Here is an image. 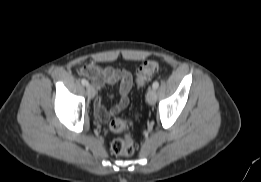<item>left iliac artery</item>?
Masks as SVG:
<instances>
[{
    "label": "left iliac artery",
    "instance_id": "44dca946",
    "mask_svg": "<svg viewBox=\"0 0 261 182\" xmlns=\"http://www.w3.org/2000/svg\"><path fill=\"white\" fill-rule=\"evenodd\" d=\"M152 87L153 89H157L159 87V82L158 81L153 82Z\"/></svg>",
    "mask_w": 261,
    "mask_h": 182
}]
</instances>
